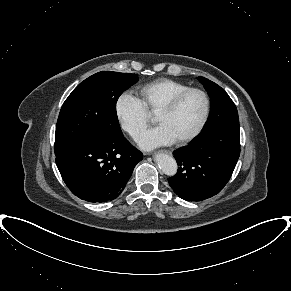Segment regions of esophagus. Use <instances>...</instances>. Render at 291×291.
Wrapping results in <instances>:
<instances>
[{
	"instance_id": "1",
	"label": "esophagus",
	"mask_w": 291,
	"mask_h": 291,
	"mask_svg": "<svg viewBox=\"0 0 291 291\" xmlns=\"http://www.w3.org/2000/svg\"><path fill=\"white\" fill-rule=\"evenodd\" d=\"M161 152H162V153H165V154H172V152L169 151V150H161Z\"/></svg>"
}]
</instances>
